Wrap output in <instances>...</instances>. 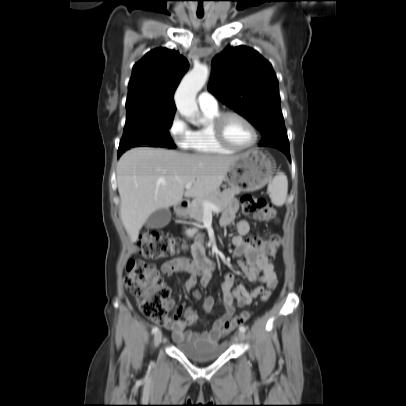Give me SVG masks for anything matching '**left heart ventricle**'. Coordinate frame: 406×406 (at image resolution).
Returning <instances> with one entry per match:
<instances>
[{
	"mask_svg": "<svg viewBox=\"0 0 406 406\" xmlns=\"http://www.w3.org/2000/svg\"><path fill=\"white\" fill-rule=\"evenodd\" d=\"M224 132L227 140L238 147L247 146L253 140L251 129L236 117H229L226 119Z\"/></svg>",
	"mask_w": 406,
	"mask_h": 406,
	"instance_id": "1",
	"label": "left heart ventricle"
}]
</instances>
